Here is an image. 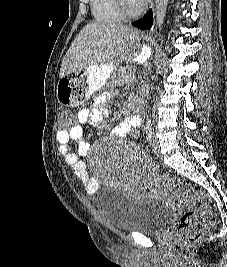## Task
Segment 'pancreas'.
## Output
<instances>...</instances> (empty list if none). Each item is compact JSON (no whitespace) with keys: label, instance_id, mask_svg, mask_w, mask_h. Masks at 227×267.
Returning a JSON list of instances; mask_svg holds the SVG:
<instances>
[{"label":"pancreas","instance_id":"cf45deb5","mask_svg":"<svg viewBox=\"0 0 227 267\" xmlns=\"http://www.w3.org/2000/svg\"><path fill=\"white\" fill-rule=\"evenodd\" d=\"M135 80V75L131 70L119 69L112 75L109 80V84L112 86H119L124 83L133 82Z\"/></svg>","mask_w":227,"mask_h":267}]
</instances>
